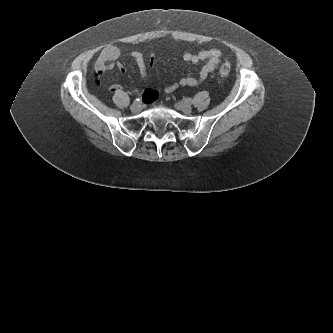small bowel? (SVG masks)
Here are the masks:
<instances>
[{
    "label": "small bowel",
    "mask_w": 333,
    "mask_h": 333,
    "mask_svg": "<svg viewBox=\"0 0 333 333\" xmlns=\"http://www.w3.org/2000/svg\"><path fill=\"white\" fill-rule=\"evenodd\" d=\"M120 54L121 51L119 47L115 45H109L102 50L100 57L95 64V69L92 71L93 78L91 79V84L94 87H99L102 84L101 77L103 76V72L107 71L118 63ZM221 56V51L215 48L203 50L197 54H192L189 52L184 53L182 56L184 62L188 64H198L200 62H204V65L199 69L197 76L193 73H189L185 77L167 86L164 89V92L172 93L179 87L199 85L208 77L210 73L217 69ZM131 57L138 66L141 76L143 78H146L147 66L144 55L140 52L135 51L131 53ZM150 64H153V58L150 60ZM117 67L119 71H125L120 64H117ZM120 88V85L113 84L110 87V91L116 92L120 90ZM132 91L134 93H138L137 89H133ZM158 91V89H147L141 94V99L144 101L145 104L150 105L160 98V93Z\"/></svg>",
    "instance_id": "c3829d8e"
}]
</instances>
